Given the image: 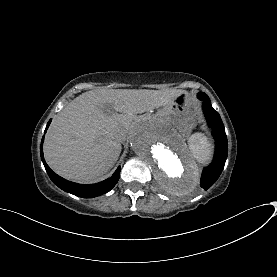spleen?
<instances>
[{"label":"spleen","mask_w":277,"mask_h":277,"mask_svg":"<svg viewBox=\"0 0 277 277\" xmlns=\"http://www.w3.org/2000/svg\"><path fill=\"white\" fill-rule=\"evenodd\" d=\"M189 147L194 157L199 161H203L209 157L210 144L202 135H193L189 140Z\"/></svg>","instance_id":"3e777b00"}]
</instances>
